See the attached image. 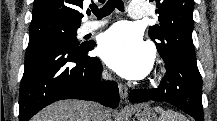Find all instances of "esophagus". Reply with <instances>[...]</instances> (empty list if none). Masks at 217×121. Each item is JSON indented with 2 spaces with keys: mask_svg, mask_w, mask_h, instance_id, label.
<instances>
[{
  "mask_svg": "<svg viewBox=\"0 0 217 121\" xmlns=\"http://www.w3.org/2000/svg\"><path fill=\"white\" fill-rule=\"evenodd\" d=\"M118 88H119V93L121 99L125 102L128 103V88L126 85L123 83H118Z\"/></svg>",
  "mask_w": 217,
  "mask_h": 121,
  "instance_id": "esophagus-1",
  "label": "esophagus"
}]
</instances>
